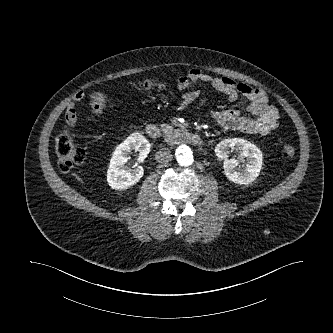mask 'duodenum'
Returning a JSON list of instances; mask_svg holds the SVG:
<instances>
[{
  "label": "duodenum",
  "instance_id": "obj_1",
  "mask_svg": "<svg viewBox=\"0 0 333 333\" xmlns=\"http://www.w3.org/2000/svg\"><path fill=\"white\" fill-rule=\"evenodd\" d=\"M147 135L152 139H164L167 143L177 144L186 142L194 145H201L203 140L197 134L187 130L163 131L156 125H149L146 129Z\"/></svg>",
  "mask_w": 333,
  "mask_h": 333
}]
</instances>
